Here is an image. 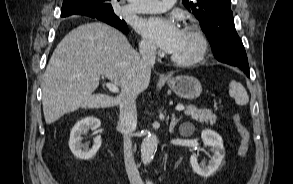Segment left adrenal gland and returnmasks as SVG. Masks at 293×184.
<instances>
[{"label": "left adrenal gland", "mask_w": 293, "mask_h": 184, "mask_svg": "<svg viewBox=\"0 0 293 184\" xmlns=\"http://www.w3.org/2000/svg\"><path fill=\"white\" fill-rule=\"evenodd\" d=\"M181 120V117H179L178 119L175 117V114H172V118H171V122H170V126L169 129L173 130L174 127L177 125V123Z\"/></svg>", "instance_id": "left-adrenal-gland-1"}]
</instances>
